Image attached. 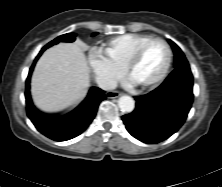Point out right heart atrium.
I'll list each match as a JSON object with an SVG mask.
<instances>
[{
	"label": "right heart atrium",
	"mask_w": 222,
	"mask_h": 187,
	"mask_svg": "<svg viewBox=\"0 0 222 187\" xmlns=\"http://www.w3.org/2000/svg\"><path fill=\"white\" fill-rule=\"evenodd\" d=\"M89 64L97 82L105 88L112 86L122 73L121 68L95 49L89 53Z\"/></svg>",
	"instance_id": "1"
}]
</instances>
